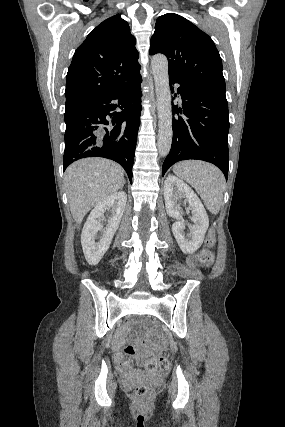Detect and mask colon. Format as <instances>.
<instances>
[{"label": "colon", "instance_id": "obj_1", "mask_svg": "<svg viewBox=\"0 0 285 427\" xmlns=\"http://www.w3.org/2000/svg\"><path fill=\"white\" fill-rule=\"evenodd\" d=\"M215 245V235L210 231L204 242L203 247L197 255V260L204 266H211L214 263V255L211 252V248ZM124 353L127 355H133L134 349L132 347H125ZM145 370L148 373L163 372L169 368V359L166 356H158L147 360L144 363ZM155 392V385L153 383H146L137 385L135 387L136 396L143 402L149 401Z\"/></svg>", "mask_w": 285, "mask_h": 427}]
</instances>
